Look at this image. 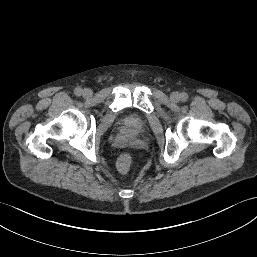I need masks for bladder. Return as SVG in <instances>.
<instances>
[{"label": "bladder", "instance_id": "bladder-1", "mask_svg": "<svg viewBox=\"0 0 257 257\" xmlns=\"http://www.w3.org/2000/svg\"><path fill=\"white\" fill-rule=\"evenodd\" d=\"M146 127L147 123L142 118L128 117L123 121V128L133 136L143 133Z\"/></svg>", "mask_w": 257, "mask_h": 257}]
</instances>
